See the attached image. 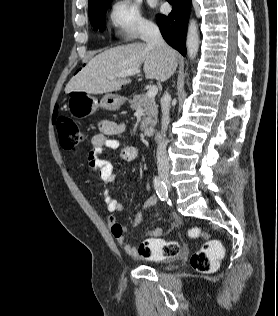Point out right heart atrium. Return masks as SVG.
<instances>
[{
  "mask_svg": "<svg viewBox=\"0 0 278 316\" xmlns=\"http://www.w3.org/2000/svg\"><path fill=\"white\" fill-rule=\"evenodd\" d=\"M115 34L122 39H136L149 31L153 24L141 12L137 0H114L108 12Z\"/></svg>",
  "mask_w": 278,
  "mask_h": 316,
  "instance_id": "right-heart-atrium-1",
  "label": "right heart atrium"
}]
</instances>
